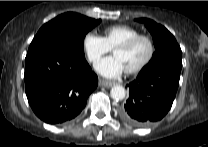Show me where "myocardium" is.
Masks as SVG:
<instances>
[{
	"label": "myocardium",
	"instance_id": "1",
	"mask_svg": "<svg viewBox=\"0 0 208 147\" xmlns=\"http://www.w3.org/2000/svg\"><path fill=\"white\" fill-rule=\"evenodd\" d=\"M140 40L147 41V43L149 45L148 56L136 67L126 70V73H128V74L138 73V72L142 71L143 69H145L151 63V61L153 60V58L155 56V52H156V46H155L154 40L149 35L138 34V35L118 44L114 48V51L117 49H129V48L133 47Z\"/></svg>",
	"mask_w": 208,
	"mask_h": 147
}]
</instances>
